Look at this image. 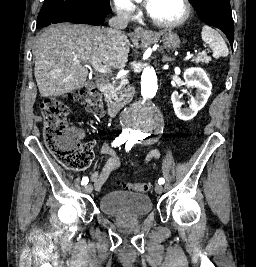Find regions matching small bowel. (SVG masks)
Returning <instances> with one entry per match:
<instances>
[{"instance_id": "1", "label": "small bowel", "mask_w": 256, "mask_h": 267, "mask_svg": "<svg viewBox=\"0 0 256 267\" xmlns=\"http://www.w3.org/2000/svg\"><path fill=\"white\" fill-rule=\"evenodd\" d=\"M80 140H83V137H80ZM100 151L103 155L107 156V161L100 171H96L92 174L91 178L97 191L102 188L111 174L118 169L121 164L119 156L112 148L108 146H102ZM158 157L159 152L157 150H151L146 156V161H150Z\"/></svg>"}]
</instances>
